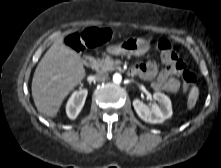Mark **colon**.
Returning <instances> with one entry per match:
<instances>
[{
  "label": "colon",
  "instance_id": "obj_1",
  "mask_svg": "<svg viewBox=\"0 0 221 168\" xmlns=\"http://www.w3.org/2000/svg\"><path fill=\"white\" fill-rule=\"evenodd\" d=\"M110 37V30L106 28H89L78 33L70 34L66 37V44L76 51H83L86 48L94 47ZM158 49L162 55L172 52V45L166 38H161L157 42ZM186 67V66H185ZM184 84H181L180 94L184 95L186 88L195 84L196 76L187 68L181 76Z\"/></svg>",
  "mask_w": 221,
  "mask_h": 168
}]
</instances>
